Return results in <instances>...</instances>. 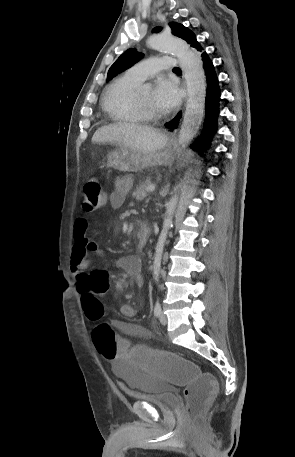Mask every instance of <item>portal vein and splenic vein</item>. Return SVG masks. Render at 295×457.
Here are the masks:
<instances>
[{
    "mask_svg": "<svg viewBox=\"0 0 295 457\" xmlns=\"http://www.w3.org/2000/svg\"><path fill=\"white\" fill-rule=\"evenodd\" d=\"M146 190H147L148 192L154 191V190H155V185H153V184L149 185V186L147 187Z\"/></svg>",
    "mask_w": 295,
    "mask_h": 457,
    "instance_id": "18ae733b",
    "label": "portal vein and splenic vein"
}]
</instances>
